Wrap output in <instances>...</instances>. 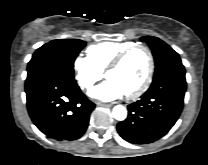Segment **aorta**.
Returning a JSON list of instances; mask_svg holds the SVG:
<instances>
[{
    "instance_id": "obj_1",
    "label": "aorta",
    "mask_w": 208,
    "mask_h": 165,
    "mask_svg": "<svg viewBox=\"0 0 208 165\" xmlns=\"http://www.w3.org/2000/svg\"><path fill=\"white\" fill-rule=\"evenodd\" d=\"M113 117L118 121H123L127 117V110L122 105H116L112 110Z\"/></svg>"
}]
</instances>
